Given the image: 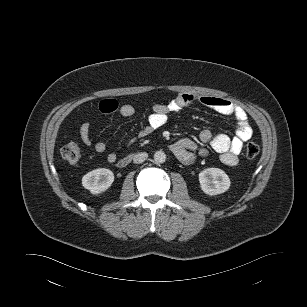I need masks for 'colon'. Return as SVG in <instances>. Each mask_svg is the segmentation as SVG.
Wrapping results in <instances>:
<instances>
[{
    "instance_id": "colon-1",
    "label": "colon",
    "mask_w": 307,
    "mask_h": 307,
    "mask_svg": "<svg viewBox=\"0 0 307 307\" xmlns=\"http://www.w3.org/2000/svg\"><path fill=\"white\" fill-rule=\"evenodd\" d=\"M110 103L114 107L115 102L110 101ZM259 151H260L259 146L254 142H250L246 146L245 155L247 158L252 159L259 154ZM61 155L66 161L74 164L79 161L81 157V150L77 144L69 143L62 148Z\"/></svg>"
}]
</instances>
